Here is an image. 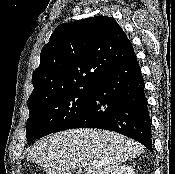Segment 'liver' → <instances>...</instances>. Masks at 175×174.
Instances as JSON below:
<instances>
[{"label": "liver", "mask_w": 175, "mask_h": 174, "mask_svg": "<svg viewBox=\"0 0 175 174\" xmlns=\"http://www.w3.org/2000/svg\"><path fill=\"white\" fill-rule=\"evenodd\" d=\"M144 146L116 132L101 129H72L49 135L28 151L27 159L43 167L46 174H72L83 164L85 174H111L129 158L140 155Z\"/></svg>", "instance_id": "liver-1"}]
</instances>
